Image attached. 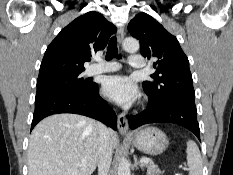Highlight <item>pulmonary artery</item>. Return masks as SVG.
Segmentation results:
<instances>
[{
	"label": "pulmonary artery",
	"mask_w": 233,
	"mask_h": 175,
	"mask_svg": "<svg viewBox=\"0 0 233 175\" xmlns=\"http://www.w3.org/2000/svg\"><path fill=\"white\" fill-rule=\"evenodd\" d=\"M129 65L133 69H142L145 66V62L141 55H131L129 58ZM120 65L116 62L99 61L97 64L90 66L87 69L88 75H96L104 72H111L118 70Z\"/></svg>",
	"instance_id": "e3ab8cb5"
}]
</instances>
